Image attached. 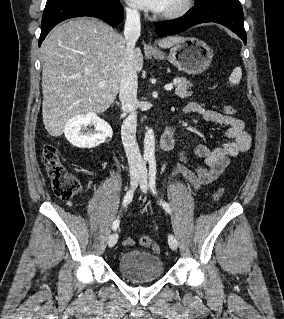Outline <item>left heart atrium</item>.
Wrapping results in <instances>:
<instances>
[{
	"instance_id": "left-heart-atrium-1",
	"label": "left heart atrium",
	"mask_w": 284,
	"mask_h": 319,
	"mask_svg": "<svg viewBox=\"0 0 284 319\" xmlns=\"http://www.w3.org/2000/svg\"><path fill=\"white\" fill-rule=\"evenodd\" d=\"M131 4L135 5L136 7L153 11V12H160L164 5L165 0H128Z\"/></svg>"
}]
</instances>
